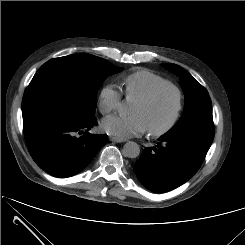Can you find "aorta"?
<instances>
[{
    "instance_id": "aorta-1",
    "label": "aorta",
    "mask_w": 245,
    "mask_h": 245,
    "mask_svg": "<svg viewBox=\"0 0 245 245\" xmlns=\"http://www.w3.org/2000/svg\"><path fill=\"white\" fill-rule=\"evenodd\" d=\"M119 112H123V109L120 108ZM123 155L128 158H136L140 154V147L136 142L129 141L123 147Z\"/></svg>"
}]
</instances>
